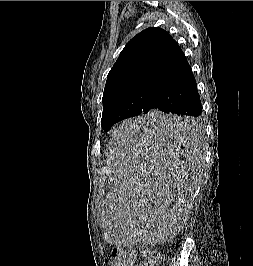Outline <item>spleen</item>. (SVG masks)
<instances>
[{
    "label": "spleen",
    "mask_w": 253,
    "mask_h": 266,
    "mask_svg": "<svg viewBox=\"0 0 253 266\" xmlns=\"http://www.w3.org/2000/svg\"><path fill=\"white\" fill-rule=\"evenodd\" d=\"M197 123L179 111H146L129 117L111 136V199L101 210L111 248H166L187 226L201 167Z\"/></svg>",
    "instance_id": "3e777b00"
}]
</instances>
